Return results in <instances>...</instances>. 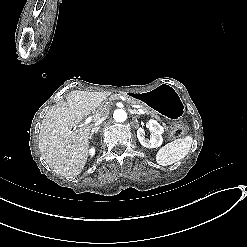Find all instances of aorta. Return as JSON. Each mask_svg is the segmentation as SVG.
I'll list each match as a JSON object with an SVG mask.
<instances>
[{"label": "aorta", "mask_w": 247, "mask_h": 247, "mask_svg": "<svg viewBox=\"0 0 247 247\" xmlns=\"http://www.w3.org/2000/svg\"><path fill=\"white\" fill-rule=\"evenodd\" d=\"M113 118L116 122H124L127 119V113L124 109H116Z\"/></svg>", "instance_id": "aorta-1"}]
</instances>
